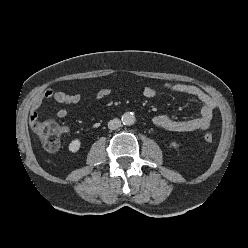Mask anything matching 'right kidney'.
<instances>
[{"label":"right kidney","mask_w":248,"mask_h":248,"mask_svg":"<svg viewBox=\"0 0 248 248\" xmlns=\"http://www.w3.org/2000/svg\"><path fill=\"white\" fill-rule=\"evenodd\" d=\"M81 142L78 139L72 140L69 144V151L75 153L80 149Z\"/></svg>","instance_id":"obj_1"}]
</instances>
